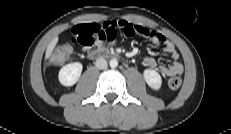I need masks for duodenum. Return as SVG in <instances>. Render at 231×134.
Masks as SVG:
<instances>
[{
  "label": "duodenum",
  "instance_id": "1",
  "mask_svg": "<svg viewBox=\"0 0 231 134\" xmlns=\"http://www.w3.org/2000/svg\"><path fill=\"white\" fill-rule=\"evenodd\" d=\"M110 56H114V54L105 48H97L89 54L90 59H100Z\"/></svg>",
  "mask_w": 231,
  "mask_h": 134
}]
</instances>
